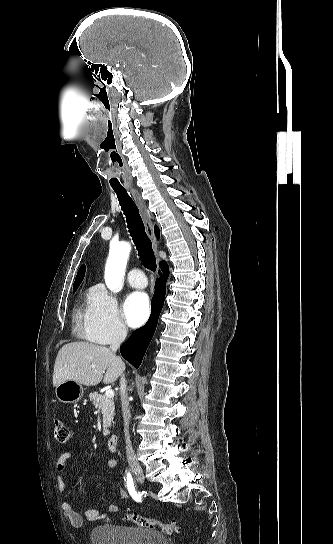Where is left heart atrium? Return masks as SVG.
<instances>
[{
	"label": "left heart atrium",
	"instance_id": "left-heart-atrium-1",
	"mask_svg": "<svg viewBox=\"0 0 333 544\" xmlns=\"http://www.w3.org/2000/svg\"><path fill=\"white\" fill-rule=\"evenodd\" d=\"M149 298L144 292H133L124 303V317L130 327L141 326L148 318Z\"/></svg>",
	"mask_w": 333,
	"mask_h": 544
}]
</instances>
